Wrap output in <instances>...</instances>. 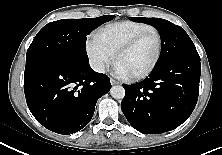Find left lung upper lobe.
Instances as JSON below:
<instances>
[{"instance_id":"left-lung-upper-lobe-1","label":"left lung upper lobe","mask_w":222,"mask_h":155,"mask_svg":"<svg viewBox=\"0 0 222 155\" xmlns=\"http://www.w3.org/2000/svg\"><path fill=\"white\" fill-rule=\"evenodd\" d=\"M130 19L151 24L159 31L162 48L155 66L178 58L200 60L195 45L180 26L161 18L130 17Z\"/></svg>"}]
</instances>
